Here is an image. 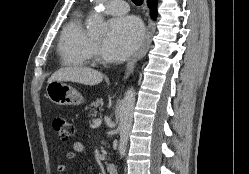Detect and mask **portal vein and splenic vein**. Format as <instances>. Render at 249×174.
I'll return each instance as SVG.
<instances>
[{
	"instance_id": "1",
	"label": "portal vein and splenic vein",
	"mask_w": 249,
	"mask_h": 174,
	"mask_svg": "<svg viewBox=\"0 0 249 174\" xmlns=\"http://www.w3.org/2000/svg\"><path fill=\"white\" fill-rule=\"evenodd\" d=\"M93 123H94V126H100L101 125V119H95L94 121H93Z\"/></svg>"
}]
</instances>
